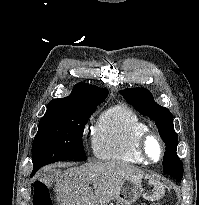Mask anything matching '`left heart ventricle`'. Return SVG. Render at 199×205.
Returning <instances> with one entry per match:
<instances>
[{"instance_id": "1", "label": "left heart ventricle", "mask_w": 199, "mask_h": 205, "mask_svg": "<svg viewBox=\"0 0 199 205\" xmlns=\"http://www.w3.org/2000/svg\"><path fill=\"white\" fill-rule=\"evenodd\" d=\"M149 153L153 160H158L160 157V148L155 141L150 142Z\"/></svg>"}]
</instances>
